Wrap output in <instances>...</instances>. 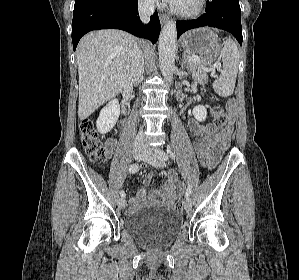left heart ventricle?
I'll return each mask as SVG.
<instances>
[{"instance_id": "obj_1", "label": "left heart ventricle", "mask_w": 299, "mask_h": 280, "mask_svg": "<svg viewBox=\"0 0 299 280\" xmlns=\"http://www.w3.org/2000/svg\"><path fill=\"white\" fill-rule=\"evenodd\" d=\"M198 0H177L174 4L182 10H192L197 6Z\"/></svg>"}]
</instances>
